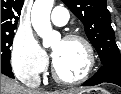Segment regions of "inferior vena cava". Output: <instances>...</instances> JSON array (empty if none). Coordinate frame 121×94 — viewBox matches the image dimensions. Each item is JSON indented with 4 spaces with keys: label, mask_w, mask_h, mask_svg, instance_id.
I'll list each match as a JSON object with an SVG mask.
<instances>
[{
    "label": "inferior vena cava",
    "mask_w": 121,
    "mask_h": 94,
    "mask_svg": "<svg viewBox=\"0 0 121 94\" xmlns=\"http://www.w3.org/2000/svg\"><path fill=\"white\" fill-rule=\"evenodd\" d=\"M41 84L40 78H35L32 83L29 85L30 89H37Z\"/></svg>",
    "instance_id": "obj_1"
}]
</instances>
